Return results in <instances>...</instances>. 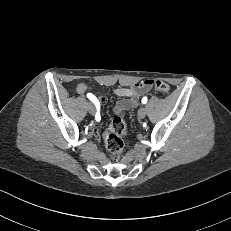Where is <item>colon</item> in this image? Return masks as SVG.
Segmentation results:
<instances>
[{
  "instance_id": "obj_1",
  "label": "colon",
  "mask_w": 231,
  "mask_h": 231,
  "mask_svg": "<svg viewBox=\"0 0 231 231\" xmlns=\"http://www.w3.org/2000/svg\"><path fill=\"white\" fill-rule=\"evenodd\" d=\"M151 86L164 94L169 93L170 87L163 81H151ZM126 135V126L124 121L116 116L112 119L108 129L104 133L105 145L107 150L118 157L124 150V136Z\"/></svg>"
}]
</instances>
